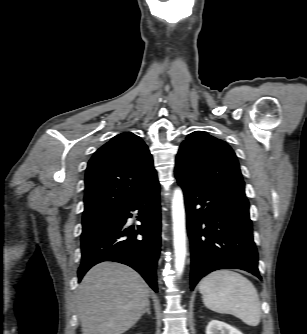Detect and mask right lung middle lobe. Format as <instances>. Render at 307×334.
<instances>
[{
  "label": "right lung middle lobe",
  "mask_w": 307,
  "mask_h": 334,
  "mask_svg": "<svg viewBox=\"0 0 307 334\" xmlns=\"http://www.w3.org/2000/svg\"><path fill=\"white\" fill-rule=\"evenodd\" d=\"M114 214H96L90 216H83L82 225L83 231L81 240L90 236L92 233L103 227L113 219Z\"/></svg>",
  "instance_id": "dd1d6c3e"
}]
</instances>
